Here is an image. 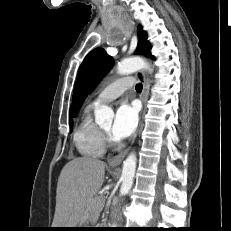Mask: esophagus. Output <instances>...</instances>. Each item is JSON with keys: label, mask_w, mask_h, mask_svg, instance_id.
Here are the masks:
<instances>
[{"label": "esophagus", "mask_w": 231, "mask_h": 231, "mask_svg": "<svg viewBox=\"0 0 231 231\" xmlns=\"http://www.w3.org/2000/svg\"><path fill=\"white\" fill-rule=\"evenodd\" d=\"M138 79L142 82V85H143V88H142V92L140 94V99H141V102H142V110H141V115L143 114V106H144V103H145V94H146V91H147V85H146V77H145V73L143 71H138L136 73ZM141 115H140V120H139V125H138V128H137V131L132 139V143L134 142L138 132H139V129L141 127ZM129 148H127L126 150L120 152L118 155L110 158L108 160V165L111 166V167H118L122 161L124 160V158L126 157L127 153L129 152Z\"/></svg>", "instance_id": "obj_1"}]
</instances>
